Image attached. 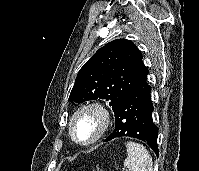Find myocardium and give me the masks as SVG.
<instances>
[{
  "label": "myocardium",
  "mask_w": 199,
  "mask_h": 171,
  "mask_svg": "<svg viewBox=\"0 0 199 171\" xmlns=\"http://www.w3.org/2000/svg\"><path fill=\"white\" fill-rule=\"evenodd\" d=\"M83 113H92L98 119V129L93 138L89 141H80L74 132V123L76 119ZM111 123V114L107 107L104 104L98 101H90L78 106L74 112L71 114L68 122V130L69 135L72 140L82 146H89L96 143L98 140L102 138V136L106 133Z\"/></svg>",
  "instance_id": "f54148a6"
}]
</instances>
